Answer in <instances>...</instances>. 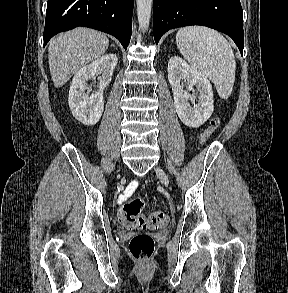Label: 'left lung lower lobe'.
I'll list each match as a JSON object with an SVG mask.
<instances>
[{"instance_id": "obj_1", "label": "left lung lower lobe", "mask_w": 288, "mask_h": 293, "mask_svg": "<svg viewBox=\"0 0 288 293\" xmlns=\"http://www.w3.org/2000/svg\"><path fill=\"white\" fill-rule=\"evenodd\" d=\"M154 40L170 29L202 25L230 36L243 54V13L240 0H153Z\"/></svg>"}]
</instances>
